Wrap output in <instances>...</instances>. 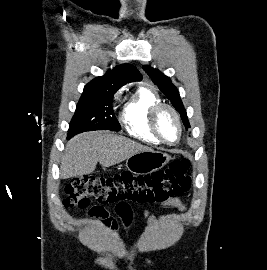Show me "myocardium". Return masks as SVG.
Wrapping results in <instances>:
<instances>
[{"label": "myocardium", "instance_id": "f54148a6", "mask_svg": "<svg viewBox=\"0 0 267 270\" xmlns=\"http://www.w3.org/2000/svg\"><path fill=\"white\" fill-rule=\"evenodd\" d=\"M163 110L170 111L176 119L178 129H179V135H178V139L175 142H168L162 136V134L159 130L158 118H159L160 113ZM149 126H150V129H151L152 133L154 134V136L160 141V143H163L165 145L174 146V145L178 144L182 138V135H183V125H182V121H181L179 113L177 112V110L173 106L166 104V103H159V104L153 106V108L151 109L150 114H149Z\"/></svg>", "mask_w": 267, "mask_h": 270}]
</instances>
